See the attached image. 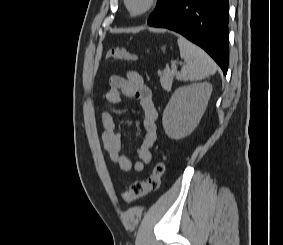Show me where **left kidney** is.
I'll list each match as a JSON object with an SVG mask.
<instances>
[{"label": "left kidney", "mask_w": 283, "mask_h": 245, "mask_svg": "<svg viewBox=\"0 0 283 245\" xmlns=\"http://www.w3.org/2000/svg\"><path fill=\"white\" fill-rule=\"evenodd\" d=\"M212 92L208 82L178 88L163 112V127L171 139L190 135L203 116Z\"/></svg>", "instance_id": "left-kidney-1"}]
</instances>
